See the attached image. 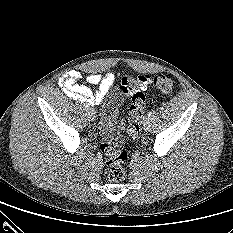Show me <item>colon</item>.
I'll return each instance as SVG.
<instances>
[{
	"mask_svg": "<svg viewBox=\"0 0 233 233\" xmlns=\"http://www.w3.org/2000/svg\"><path fill=\"white\" fill-rule=\"evenodd\" d=\"M153 85L163 94L170 95L174 90V82L165 75H157L152 79ZM129 89L132 92V103L129 107L128 117L124 121V129L130 136L139 133L144 109L146 106L145 95L142 92L140 80L133 81ZM102 153L106 156L107 176L109 180L117 182L124 177V162L127 159V152L124 147L117 142H102L100 145Z\"/></svg>",
	"mask_w": 233,
	"mask_h": 233,
	"instance_id": "5ec220e1",
	"label": "colon"
}]
</instances>
